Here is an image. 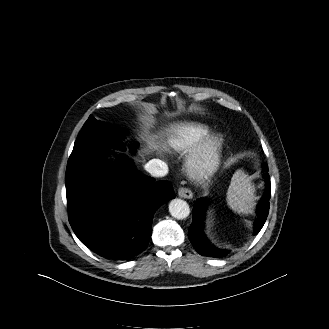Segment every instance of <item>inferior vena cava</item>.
<instances>
[{
  "label": "inferior vena cava",
  "instance_id": "inferior-vena-cava-1",
  "mask_svg": "<svg viewBox=\"0 0 329 329\" xmlns=\"http://www.w3.org/2000/svg\"><path fill=\"white\" fill-rule=\"evenodd\" d=\"M145 170L154 177H163L168 173V166L160 159H152L144 166Z\"/></svg>",
  "mask_w": 329,
  "mask_h": 329
}]
</instances>
